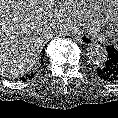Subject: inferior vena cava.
<instances>
[{
    "instance_id": "602c4592",
    "label": "inferior vena cava",
    "mask_w": 118,
    "mask_h": 118,
    "mask_svg": "<svg viewBox=\"0 0 118 118\" xmlns=\"http://www.w3.org/2000/svg\"><path fill=\"white\" fill-rule=\"evenodd\" d=\"M53 31L56 32V33H58V32L60 31V26L55 25V26L53 27Z\"/></svg>"
}]
</instances>
